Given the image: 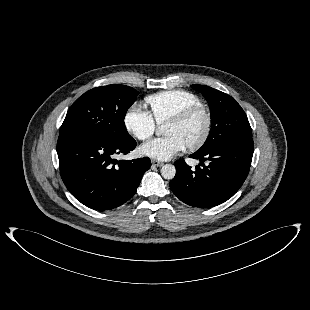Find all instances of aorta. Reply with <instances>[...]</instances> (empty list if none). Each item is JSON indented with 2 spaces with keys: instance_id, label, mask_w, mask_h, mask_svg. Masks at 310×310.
<instances>
[{
  "instance_id": "762f6f07",
  "label": "aorta",
  "mask_w": 310,
  "mask_h": 310,
  "mask_svg": "<svg viewBox=\"0 0 310 310\" xmlns=\"http://www.w3.org/2000/svg\"><path fill=\"white\" fill-rule=\"evenodd\" d=\"M176 168L172 164H165L161 168V175L163 178L171 180L175 177Z\"/></svg>"
}]
</instances>
